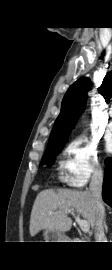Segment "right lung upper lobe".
Wrapping results in <instances>:
<instances>
[{
  "label": "right lung upper lobe",
  "mask_w": 112,
  "mask_h": 270,
  "mask_svg": "<svg viewBox=\"0 0 112 270\" xmlns=\"http://www.w3.org/2000/svg\"><path fill=\"white\" fill-rule=\"evenodd\" d=\"M90 86L91 82L88 78H81L70 86L63 98L61 112L55 121L48 144L67 141L79 114L84 109L86 94ZM98 90L106 102L112 97V71L104 77Z\"/></svg>",
  "instance_id": "right-lung-upper-lobe-1"
}]
</instances>
